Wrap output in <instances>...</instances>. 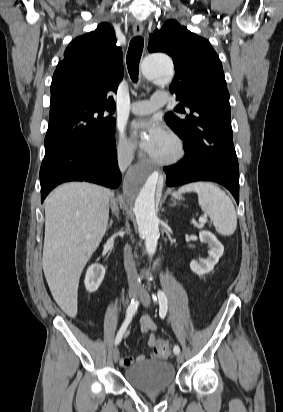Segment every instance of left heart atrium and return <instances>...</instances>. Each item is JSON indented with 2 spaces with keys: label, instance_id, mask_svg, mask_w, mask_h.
<instances>
[{
  "label": "left heart atrium",
  "instance_id": "obj_1",
  "mask_svg": "<svg viewBox=\"0 0 283 412\" xmlns=\"http://www.w3.org/2000/svg\"><path fill=\"white\" fill-rule=\"evenodd\" d=\"M133 128L136 132L142 133L140 145L150 154L160 145L167 135L160 123L154 119L137 122Z\"/></svg>",
  "mask_w": 283,
  "mask_h": 412
}]
</instances>
